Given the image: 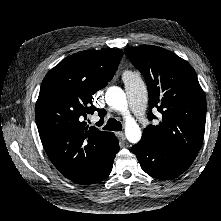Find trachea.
Listing matches in <instances>:
<instances>
[{"label":"trachea","instance_id":"obj_1","mask_svg":"<svg viewBox=\"0 0 221 221\" xmlns=\"http://www.w3.org/2000/svg\"><path fill=\"white\" fill-rule=\"evenodd\" d=\"M100 126V125H98ZM104 130H109V131H121L122 130V124L117 121L116 119H109L107 121V124L103 127Z\"/></svg>","mask_w":221,"mask_h":221}]
</instances>
